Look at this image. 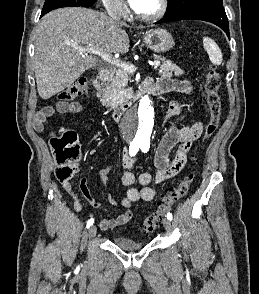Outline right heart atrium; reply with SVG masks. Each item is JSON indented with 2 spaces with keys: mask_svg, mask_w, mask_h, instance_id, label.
<instances>
[{
  "mask_svg": "<svg viewBox=\"0 0 259 294\" xmlns=\"http://www.w3.org/2000/svg\"><path fill=\"white\" fill-rule=\"evenodd\" d=\"M107 11L116 16H123L127 9L121 0H102Z\"/></svg>",
  "mask_w": 259,
  "mask_h": 294,
  "instance_id": "obj_1",
  "label": "right heart atrium"
}]
</instances>
